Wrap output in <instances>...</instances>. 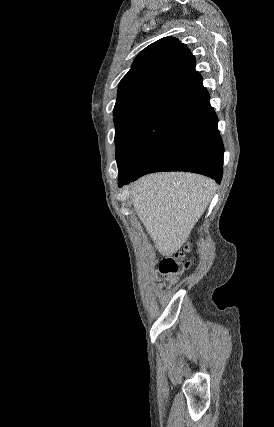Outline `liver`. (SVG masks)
<instances>
[{"label": "liver", "instance_id": "1", "mask_svg": "<svg viewBox=\"0 0 274 427\" xmlns=\"http://www.w3.org/2000/svg\"><path fill=\"white\" fill-rule=\"evenodd\" d=\"M134 210L162 255H173L205 212L215 190L210 178L184 172L150 174L131 186Z\"/></svg>", "mask_w": 274, "mask_h": 427}]
</instances>
